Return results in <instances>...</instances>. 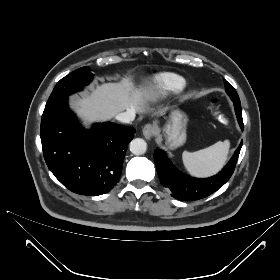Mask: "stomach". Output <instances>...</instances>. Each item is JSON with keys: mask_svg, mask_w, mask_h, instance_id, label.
<instances>
[{"mask_svg": "<svg viewBox=\"0 0 280 280\" xmlns=\"http://www.w3.org/2000/svg\"><path fill=\"white\" fill-rule=\"evenodd\" d=\"M188 118L180 110H173L169 122L165 125L164 137L170 149H176L186 142V125Z\"/></svg>", "mask_w": 280, "mask_h": 280, "instance_id": "0dacf381", "label": "stomach"}]
</instances>
